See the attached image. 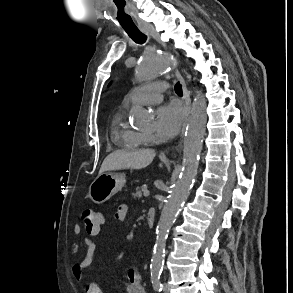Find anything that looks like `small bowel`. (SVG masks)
Listing matches in <instances>:
<instances>
[{
    "label": "small bowel",
    "instance_id": "small-bowel-1",
    "mask_svg": "<svg viewBox=\"0 0 293 293\" xmlns=\"http://www.w3.org/2000/svg\"><path fill=\"white\" fill-rule=\"evenodd\" d=\"M128 209L129 208H128L127 204L121 203L118 206V208L114 214L115 219L118 220L119 222H124L126 220V217L128 214ZM104 223H105V216H104V214L101 213L100 226L96 230H93V231H89V230L85 229V231L88 234V237H86L84 239V244L87 246L88 252H87V255L85 256V258L81 262L75 264L72 268V273L77 280L83 279L84 270L86 268H88L93 262V258H94V254H95V243L91 239V237L99 234L100 227ZM81 231H82V228L80 225L74 226L75 234L79 235L81 233ZM78 251H79V245L73 244L72 252L74 254H76V253H78ZM123 280L125 283V292L126 293H146V290L142 284V274L138 269H136V268L128 269L125 276L123 277ZM94 288L99 289L100 293H102L101 289L95 283L88 282L85 284V292L86 293H93Z\"/></svg>",
    "mask_w": 293,
    "mask_h": 293
}]
</instances>
